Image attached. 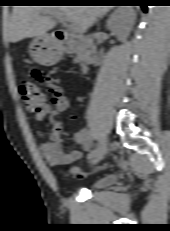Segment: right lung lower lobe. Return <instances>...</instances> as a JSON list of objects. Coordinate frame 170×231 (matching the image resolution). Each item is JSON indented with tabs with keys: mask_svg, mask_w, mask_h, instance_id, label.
Instances as JSON below:
<instances>
[{
	"mask_svg": "<svg viewBox=\"0 0 170 231\" xmlns=\"http://www.w3.org/2000/svg\"><path fill=\"white\" fill-rule=\"evenodd\" d=\"M140 6L142 7V9H143L144 12L147 11V6L145 4H141Z\"/></svg>",
	"mask_w": 170,
	"mask_h": 231,
	"instance_id": "1",
	"label": "right lung lower lobe"
}]
</instances>
